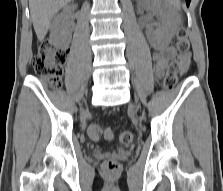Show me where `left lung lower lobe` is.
<instances>
[{
  "label": "left lung lower lobe",
  "instance_id": "left-lung-lower-lobe-1",
  "mask_svg": "<svg viewBox=\"0 0 223 191\" xmlns=\"http://www.w3.org/2000/svg\"><path fill=\"white\" fill-rule=\"evenodd\" d=\"M190 1H191V0H186V2H187V5H189V4H190Z\"/></svg>",
  "mask_w": 223,
  "mask_h": 191
}]
</instances>
